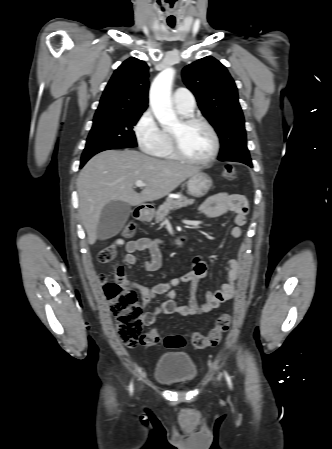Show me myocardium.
<instances>
[{
	"mask_svg": "<svg viewBox=\"0 0 332 449\" xmlns=\"http://www.w3.org/2000/svg\"><path fill=\"white\" fill-rule=\"evenodd\" d=\"M180 122L184 126H188V125H192V124L203 125L209 131V133L212 137L213 148H212V152L210 153V155L206 158L197 159V158L190 157L187 154H185L184 151L182 150L177 136L174 133L170 132L169 135H170L171 147H172V151H173L175 157L184 162L191 163V164H197V165H207V164H210L211 162H213L216 159V157L218 156L219 150H220L219 137H218V134H217L216 130L214 129V127L207 120L200 118V117H196V116H184L181 118Z\"/></svg>",
	"mask_w": 332,
	"mask_h": 449,
	"instance_id": "obj_1",
	"label": "myocardium"
}]
</instances>
